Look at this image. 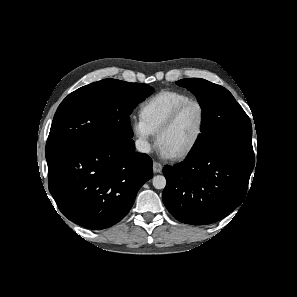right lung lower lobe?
<instances>
[{"label":"right lung lower lobe","mask_w":297,"mask_h":297,"mask_svg":"<svg viewBox=\"0 0 297 297\" xmlns=\"http://www.w3.org/2000/svg\"><path fill=\"white\" fill-rule=\"evenodd\" d=\"M134 149L132 139L107 140L73 147L48 160L49 191L64 216L94 230L122 220L153 176L151 158Z\"/></svg>","instance_id":"obj_1"}]
</instances>
